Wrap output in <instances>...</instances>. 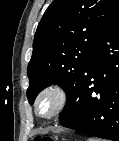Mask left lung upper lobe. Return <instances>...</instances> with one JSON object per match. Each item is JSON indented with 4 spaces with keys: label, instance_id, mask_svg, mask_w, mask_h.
I'll use <instances>...</instances> for the list:
<instances>
[{
    "label": "left lung upper lobe",
    "instance_id": "5c2ea615",
    "mask_svg": "<svg viewBox=\"0 0 119 141\" xmlns=\"http://www.w3.org/2000/svg\"><path fill=\"white\" fill-rule=\"evenodd\" d=\"M119 12V0H54L34 35L27 97L52 83L69 97L78 88L96 44Z\"/></svg>",
    "mask_w": 119,
    "mask_h": 141
}]
</instances>
